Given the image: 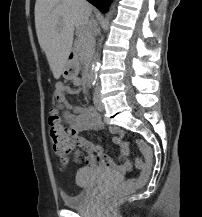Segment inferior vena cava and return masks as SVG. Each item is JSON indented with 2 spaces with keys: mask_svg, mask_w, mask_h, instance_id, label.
<instances>
[{
  "mask_svg": "<svg viewBox=\"0 0 202 217\" xmlns=\"http://www.w3.org/2000/svg\"><path fill=\"white\" fill-rule=\"evenodd\" d=\"M84 2H86L85 0H83ZM91 13L88 12V16L90 17ZM87 28L92 32V34L96 35L98 33V23L96 22L95 19L90 18L88 20V26Z\"/></svg>",
  "mask_w": 202,
  "mask_h": 217,
  "instance_id": "obj_1",
  "label": "inferior vena cava"
}]
</instances>
